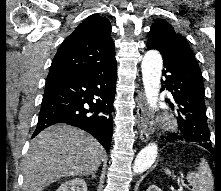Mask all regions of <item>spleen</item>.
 <instances>
[{"label":"spleen","mask_w":221,"mask_h":191,"mask_svg":"<svg viewBox=\"0 0 221 191\" xmlns=\"http://www.w3.org/2000/svg\"><path fill=\"white\" fill-rule=\"evenodd\" d=\"M165 172L168 176H171L169 169H166ZM187 181L195 189L194 191H213L214 188L211 169L204 159H201L196 172H191L187 175Z\"/></svg>","instance_id":"spleen-1"}]
</instances>
